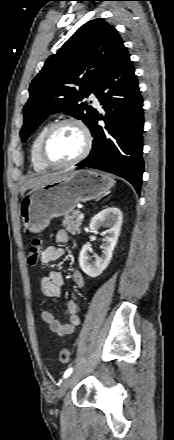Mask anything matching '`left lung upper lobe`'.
Listing matches in <instances>:
<instances>
[{
	"label": "left lung upper lobe",
	"mask_w": 174,
	"mask_h": 440,
	"mask_svg": "<svg viewBox=\"0 0 174 440\" xmlns=\"http://www.w3.org/2000/svg\"><path fill=\"white\" fill-rule=\"evenodd\" d=\"M124 48L118 31L103 19L82 25L32 80L30 97L23 108L22 141L56 112L63 111L88 126L95 109L80 102L90 93L97 94L105 74Z\"/></svg>",
	"instance_id": "obj_1"
}]
</instances>
